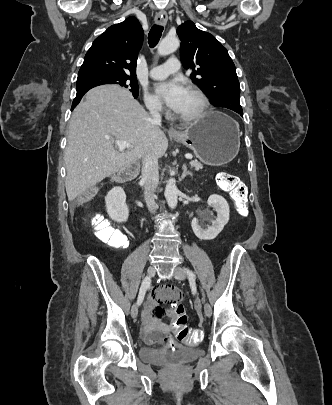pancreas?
<instances>
[{"label": "pancreas", "mask_w": 332, "mask_h": 405, "mask_svg": "<svg viewBox=\"0 0 332 405\" xmlns=\"http://www.w3.org/2000/svg\"><path fill=\"white\" fill-rule=\"evenodd\" d=\"M191 167H195L196 170L201 169L203 166L200 162L197 161H191L190 162Z\"/></svg>", "instance_id": "obj_1"}]
</instances>
